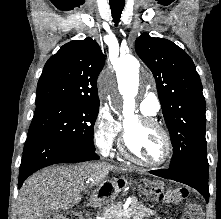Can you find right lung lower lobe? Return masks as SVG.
<instances>
[{"mask_svg":"<svg viewBox=\"0 0 221 219\" xmlns=\"http://www.w3.org/2000/svg\"><path fill=\"white\" fill-rule=\"evenodd\" d=\"M99 158L95 151L79 148L44 134H30L24 146L18 188L29 175L43 167L57 163L98 160Z\"/></svg>","mask_w":221,"mask_h":219,"instance_id":"obj_1","label":"right lung lower lobe"}]
</instances>
